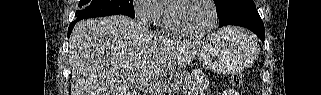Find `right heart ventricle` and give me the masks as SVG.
I'll use <instances>...</instances> for the list:
<instances>
[{"mask_svg":"<svg viewBox=\"0 0 321 95\" xmlns=\"http://www.w3.org/2000/svg\"><path fill=\"white\" fill-rule=\"evenodd\" d=\"M166 3H167V1L165 2V4H166ZM161 10H162V13H161L159 19L156 21V23L165 24V19H164V17H163V9H162V7H161Z\"/></svg>","mask_w":321,"mask_h":95,"instance_id":"obj_1","label":"right heart ventricle"}]
</instances>
